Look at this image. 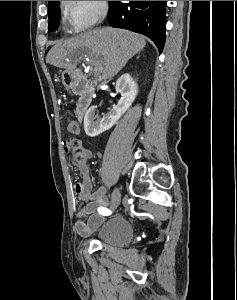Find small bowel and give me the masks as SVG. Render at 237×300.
Segmentation results:
<instances>
[{
	"label": "small bowel",
	"mask_w": 237,
	"mask_h": 300,
	"mask_svg": "<svg viewBox=\"0 0 237 300\" xmlns=\"http://www.w3.org/2000/svg\"><path fill=\"white\" fill-rule=\"evenodd\" d=\"M67 130L72 134H78L80 129L75 121H70L67 124ZM83 154L84 158L76 163L82 179L76 183L75 191L85 204L77 213L75 229L79 235L88 236L103 222L104 218L98 212V209L105 208L108 204H111L114 200V195L110 199L107 197V182L97 190L93 189L87 164L88 159L92 157V151L83 150Z\"/></svg>",
	"instance_id": "obj_1"
}]
</instances>
